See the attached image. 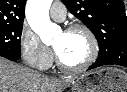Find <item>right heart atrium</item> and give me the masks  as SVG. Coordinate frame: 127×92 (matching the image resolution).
<instances>
[{
    "instance_id": "right-heart-atrium-1",
    "label": "right heart atrium",
    "mask_w": 127,
    "mask_h": 92,
    "mask_svg": "<svg viewBox=\"0 0 127 92\" xmlns=\"http://www.w3.org/2000/svg\"><path fill=\"white\" fill-rule=\"evenodd\" d=\"M20 50L24 62L33 68L47 69L53 62V53L30 28H23Z\"/></svg>"
}]
</instances>
